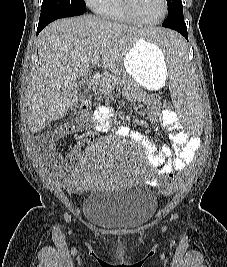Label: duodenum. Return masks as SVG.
I'll return each instance as SVG.
<instances>
[{"mask_svg":"<svg viewBox=\"0 0 227 267\" xmlns=\"http://www.w3.org/2000/svg\"><path fill=\"white\" fill-rule=\"evenodd\" d=\"M102 81V75L100 74H93L90 82V86L92 89H96L100 82Z\"/></svg>","mask_w":227,"mask_h":267,"instance_id":"obj_1","label":"duodenum"}]
</instances>
